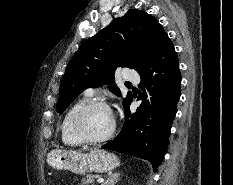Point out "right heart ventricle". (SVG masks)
<instances>
[{
	"mask_svg": "<svg viewBox=\"0 0 233 185\" xmlns=\"http://www.w3.org/2000/svg\"><path fill=\"white\" fill-rule=\"evenodd\" d=\"M87 99H80L74 102L66 111L61 122V138L65 145L67 146H79L82 143L75 137L72 131V119L75 113L86 104Z\"/></svg>",
	"mask_w": 233,
	"mask_h": 185,
	"instance_id": "right-heart-ventricle-1",
	"label": "right heart ventricle"
}]
</instances>
